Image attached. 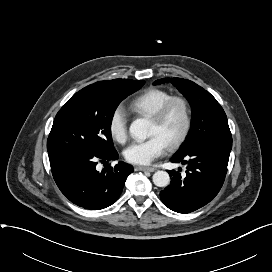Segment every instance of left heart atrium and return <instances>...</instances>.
Returning a JSON list of instances; mask_svg holds the SVG:
<instances>
[{
  "label": "left heart atrium",
  "mask_w": 272,
  "mask_h": 272,
  "mask_svg": "<svg viewBox=\"0 0 272 272\" xmlns=\"http://www.w3.org/2000/svg\"><path fill=\"white\" fill-rule=\"evenodd\" d=\"M167 147L168 145L163 138L154 134L145 141L131 144L124 151V157L132 164L146 165L161 156Z\"/></svg>",
  "instance_id": "39dd6f15"
}]
</instances>
